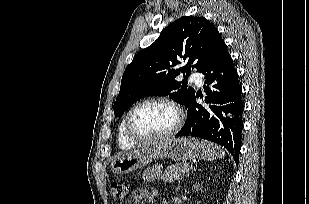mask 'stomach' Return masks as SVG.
<instances>
[{"mask_svg": "<svg viewBox=\"0 0 309 204\" xmlns=\"http://www.w3.org/2000/svg\"><path fill=\"white\" fill-rule=\"evenodd\" d=\"M202 149L201 143L195 138H166L116 158L111 163V170L117 174H127L148 165L153 160L163 158L185 162L198 157Z\"/></svg>", "mask_w": 309, "mask_h": 204, "instance_id": "stomach-1", "label": "stomach"}]
</instances>
